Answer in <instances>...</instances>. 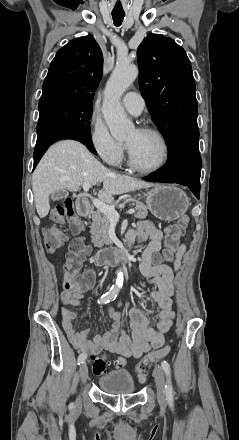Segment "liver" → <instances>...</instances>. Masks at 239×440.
<instances>
[{
    "label": "liver",
    "mask_w": 239,
    "mask_h": 440,
    "mask_svg": "<svg viewBox=\"0 0 239 440\" xmlns=\"http://www.w3.org/2000/svg\"><path fill=\"white\" fill-rule=\"evenodd\" d=\"M86 182L92 186L103 182V188L98 194L102 202H113L114 196L119 194L155 186L130 176L115 174L102 166L80 142L62 140L47 150L33 172L34 202L40 218L49 214V196L55 190L78 192Z\"/></svg>",
    "instance_id": "obj_1"
}]
</instances>
